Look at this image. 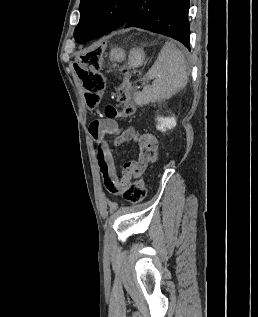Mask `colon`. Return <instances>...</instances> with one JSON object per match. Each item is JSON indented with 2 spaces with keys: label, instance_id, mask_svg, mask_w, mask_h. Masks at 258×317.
Here are the masks:
<instances>
[{
  "label": "colon",
  "instance_id": "5ec220e1",
  "mask_svg": "<svg viewBox=\"0 0 258 317\" xmlns=\"http://www.w3.org/2000/svg\"><path fill=\"white\" fill-rule=\"evenodd\" d=\"M103 64V52L100 48H92L80 52L74 61V70L77 73L84 90L86 103L89 107L100 104L105 88V79L100 70ZM119 107L108 105L105 108L107 119L117 117L130 119L136 112V106L132 93L128 87L121 85L118 88ZM125 200L139 203L146 196V187L143 179L131 183L123 192Z\"/></svg>",
  "mask_w": 258,
  "mask_h": 317
}]
</instances>
